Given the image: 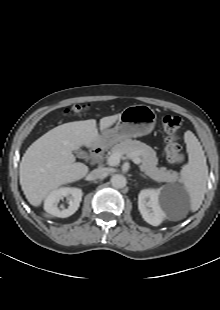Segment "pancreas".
Wrapping results in <instances>:
<instances>
[{"mask_svg": "<svg viewBox=\"0 0 220 310\" xmlns=\"http://www.w3.org/2000/svg\"><path fill=\"white\" fill-rule=\"evenodd\" d=\"M120 153L121 155H135L140 157V170L151 179L158 182H175L178 174L175 171L167 170L165 167L158 168V158L156 152L145 143L137 140L125 139L111 148V153Z\"/></svg>", "mask_w": 220, "mask_h": 310, "instance_id": "1", "label": "pancreas"}]
</instances>
